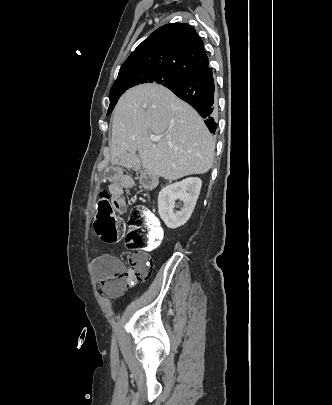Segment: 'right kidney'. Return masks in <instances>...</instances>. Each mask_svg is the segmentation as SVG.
Masks as SVG:
<instances>
[{"mask_svg":"<svg viewBox=\"0 0 332 405\" xmlns=\"http://www.w3.org/2000/svg\"><path fill=\"white\" fill-rule=\"evenodd\" d=\"M201 186V179L191 177L161 189L158 195V212L168 228H178L189 220L199 197ZM177 199L183 202L180 211H174Z\"/></svg>","mask_w":332,"mask_h":405,"instance_id":"1","label":"right kidney"}]
</instances>
